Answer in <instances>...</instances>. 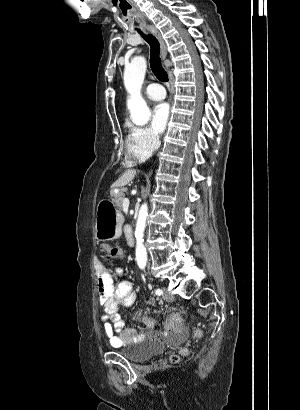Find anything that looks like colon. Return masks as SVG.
Wrapping results in <instances>:
<instances>
[{
  "label": "colon",
  "instance_id": "5ec220e1",
  "mask_svg": "<svg viewBox=\"0 0 300 410\" xmlns=\"http://www.w3.org/2000/svg\"><path fill=\"white\" fill-rule=\"evenodd\" d=\"M124 249L120 246H113L109 247L106 249L102 259L105 262H113L118 260L122 254H123ZM168 324L172 325L173 327H180L181 324L184 322V317L182 315H179L178 312H171L170 316L168 317ZM198 335H201V332H197ZM187 352V349H183L182 353ZM172 359L175 361L177 360L176 356H173Z\"/></svg>",
  "mask_w": 300,
  "mask_h": 410
}]
</instances>
